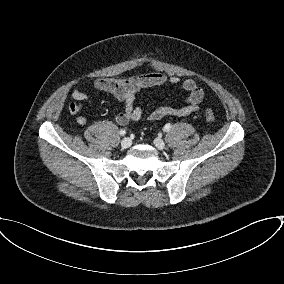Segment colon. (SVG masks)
Returning a JSON list of instances; mask_svg holds the SVG:
<instances>
[{
  "label": "colon",
  "mask_w": 284,
  "mask_h": 284,
  "mask_svg": "<svg viewBox=\"0 0 284 284\" xmlns=\"http://www.w3.org/2000/svg\"><path fill=\"white\" fill-rule=\"evenodd\" d=\"M205 117L206 119L209 121V122H214L215 121V117H214V114L212 112L211 109L207 108L205 110Z\"/></svg>",
  "instance_id": "5ec220e1"
}]
</instances>
